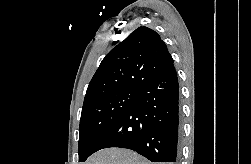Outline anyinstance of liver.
Masks as SVG:
<instances>
[{"label": "liver", "instance_id": "1", "mask_svg": "<svg viewBox=\"0 0 251 164\" xmlns=\"http://www.w3.org/2000/svg\"><path fill=\"white\" fill-rule=\"evenodd\" d=\"M85 164H151L144 157L130 150L108 148L93 154Z\"/></svg>", "mask_w": 251, "mask_h": 164}]
</instances>
